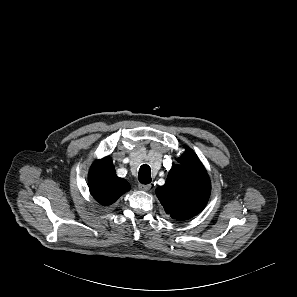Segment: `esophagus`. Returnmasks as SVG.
Returning a JSON list of instances; mask_svg holds the SVG:
<instances>
[{
	"label": "esophagus",
	"mask_w": 297,
	"mask_h": 297,
	"mask_svg": "<svg viewBox=\"0 0 297 297\" xmlns=\"http://www.w3.org/2000/svg\"><path fill=\"white\" fill-rule=\"evenodd\" d=\"M138 187L142 191H149L151 188V185L150 184H139Z\"/></svg>",
	"instance_id": "1"
}]
</instances>
